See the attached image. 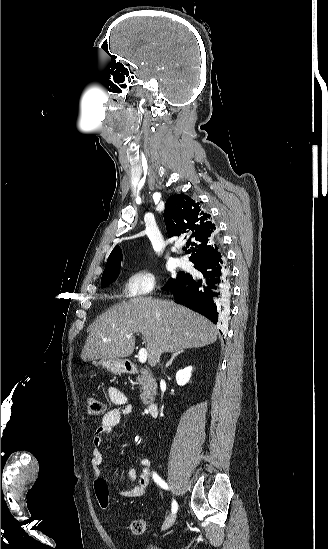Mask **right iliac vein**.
I'll return each instance as SVG.
<instances>
[{"mask_svg": "<svg viewBox=\"0 0 328 549\" xmlns=\"http://www.w3.org/2000/svg\"><path fill=\"white\" fill-rule=\"evenodd\" d=\"M176 520V514H173V515H170L164 522L163 526H162V530H167L168 528H170L173 523L175 522Z\"/></svg>", "mask_w": 328, "mask_h": 549, "instance_id": "obj_1", "label": "right iliac vein"}]
</instances>
